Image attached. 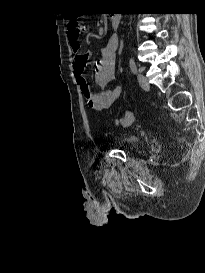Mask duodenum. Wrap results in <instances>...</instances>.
I'll return each instance as SVG.
<instances>
[{
  "instance_id": "duodenum-1",
  "label": "duodenum",
  "mask_w": 205,
  "mask_h": 273,
  "mask_svg": "<svg viewBox=\"0 0 205 273\" xmlns=\"http://www.w3.org/2000/svg\"><path fill=\"white\" fill-rule=\"evenodd\" d=\"M119 22H120V19H119V15L116 13V14H113L111 16V24L116 27L119 25Z\"/></svg>"
}]
</instances>
